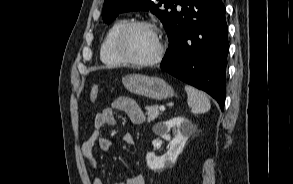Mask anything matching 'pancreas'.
I'll list each match as a JSON object with an SVG mask.
<instances>
[{
  "instance_id": "1",
  "label": "pancreas",
  "mask_w": 293,
  "mask_h": 184,
  "mask_svg": "<svg viewBox=\"0 0 293 184\" xmlns=\"http://www.w3.org/2000/svg\"><path fill=\"white\" fill-rule=\"evenodd\" d=\"M146 114L148 116V122L154 121L159 116V109L157 105L146 106Z\"/></svg>"
}]
</instances>
